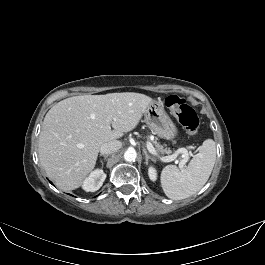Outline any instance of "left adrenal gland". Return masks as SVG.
I'll use <instances>...</instances> for the list:
<instances>
[{"label":"left adrenal gland","instance_id":"left-adrenal-gland-1","mask_svg":"<svg viewBox=\"0 0 265 265\" xmlns=\"http://www.w3.org/2000/svg\"><path fill=\"white\" fill-rule=\"evenodd\" d=\"M144 155H145V164L148 165V160L151 159L152 161H156V159L149 155L148 152L146 151V149H143Z\"/></svg>","mask_w":265,"mask_h":265}]
</instances>
